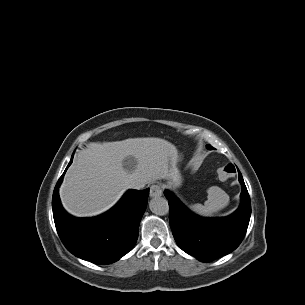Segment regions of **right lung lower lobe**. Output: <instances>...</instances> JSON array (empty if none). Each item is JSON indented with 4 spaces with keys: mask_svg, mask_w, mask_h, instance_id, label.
<instances>
[{
    "mask_svg": "<svg viewBox=\"0 0 305 305\" xmlns=\"http://www.w3.org/2000/svg\"><path fill=\"white\" fill-rule=\"evenodd\" d=\"M66 170L52 198L54 222L61 241L69 252L92 263L105 265L117 261L137 241L149 189L129 190L112 209L100 216L76 218L66 213L60 203L58 188Z\"/></svg>",
    "mask_w": 305,
    "mask_h": 305,
    "instance_id": "98d812e1",
    "label": "right lung lower lobe"
}]
</instances>
